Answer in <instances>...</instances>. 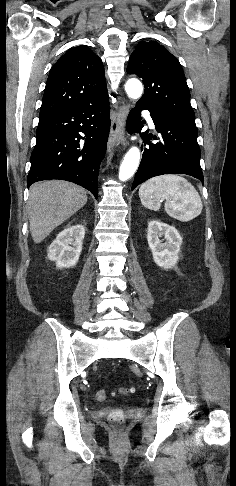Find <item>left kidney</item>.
<instances>
[{"label": "left kidney", "instance_id": "obj_1", "mask_svg": "<svg viewBox=\"0 0 236 486\" xmlns=\"http://www.w3.org/2000/svg\"><path fill=\"white\" fill-rule=\"evenodd\" d=\"M147 240L157 266L170 269L177 264L182 245V237L177 229L159 220H152L148 224Z\"/></svg>", "mask_w": 236, "mask_h": 486}]
</instances>
